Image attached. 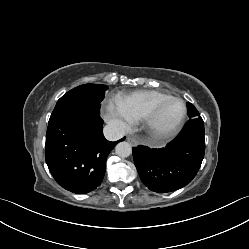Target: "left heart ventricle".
Masks as SVG:
<instances>
[{
    "mask_svg": "<svg viewBox=\"0 0 249 249\" xmlns=\"http://www.w3.org/2000/svg\"><path fill=\"white\" fill-rule=\"evenodd\" d=\"M182 112V105L173 101L168 103L163 110L158 115V118L155 122V127L158 131H164L172 128Z\"/></svg>",
    "mask_w": 249,
    "mask_h": 249,
    "instance_id": "1",
    "label": "left heart ventricle"
}]
</instances>
